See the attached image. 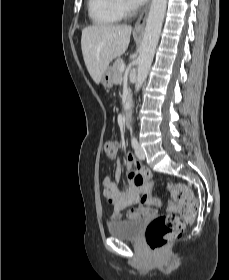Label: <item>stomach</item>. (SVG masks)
<instances>
[{
	"label": "stomach",
	"mask_w": 229,
	"mask_h": 280,
	"mask_svg": "<svg viewBox=\"0 0 229 280\" xmlns=\"http://www.w3.org/2000/svg\"><path fill=\"white\" fill-rule=\"evenodd\" d=\"M101 83L107 89H110L113 86L114 80H113V71L111 67H108V69L104 72L101 78Z\"/></svg>",
	"instance_id": "1"
}]
</instances>
